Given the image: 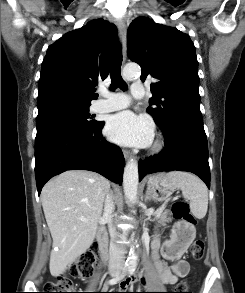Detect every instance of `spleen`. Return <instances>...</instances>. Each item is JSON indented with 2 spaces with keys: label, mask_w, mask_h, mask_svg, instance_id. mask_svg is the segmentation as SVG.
<instances>
[{
  "label": "spleen",
  "mask_w": 245,
  "mask_h": 293,
  "mask_svg": "<svg viewBox=\"0 0 245 293\" xmlns=\"http://www.w3.org/2000/svg\"><path fill=\"white\" fill-rule=\"evenodd\" d=\"M166 176L189 200L192 214L198 219L204 218L208 209V190L202 180L191 173L181 171H171Z\"/></svg>",
  "instance_id": "obj_1"
}]
</instances>
